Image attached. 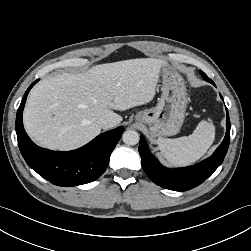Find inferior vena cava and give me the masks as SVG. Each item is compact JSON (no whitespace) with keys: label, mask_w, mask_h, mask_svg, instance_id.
<instances>
[{"label":"inferior vena cava","mask_w":251,"mask_h":251,"mask_svg":"<svg viewBox=\"0 0 251 251\" xmlns=\"http://www.w3.org/2000/svg\"><path fill=\"white\" fill-rule=\"evenodd\" d=\"M97 124L102 129H108V128H112L114 126L112 121H110L109 119H106L104 117L99 118L97 120Z\"/></svg>","instance_id":"1"}]
</instances>
